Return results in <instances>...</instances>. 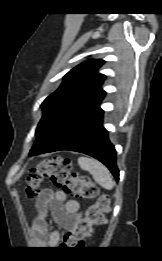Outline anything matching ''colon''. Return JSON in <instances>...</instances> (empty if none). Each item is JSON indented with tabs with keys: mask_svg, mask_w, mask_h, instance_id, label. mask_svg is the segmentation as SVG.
Here are the masks:
<instances>
[{
	"mask_svg": "<svg viewBox=\"0 0 162 261\" xmlns=\"http://www.w3.org/2000/svg\"><path fill=\"white\" fill-rule=\"evenodd\" d=\"M44 179H49L55 186L61 187L78 199H92L98 196V187L86 175L73 171L70 159L53 157L39 162L32 167L27 176L26 194L29 198L38 195ZM110 210V198L106 194L98 197L97 203L88 207L77 219L73 232L66 243L74 247H84L92 234L95 224L105 221V213Z\"/></svg>",
	"mask_w": 162,
	"mask_h": 261,
	"instance_id": "5ec220e1",
	"label": "colon"
}]
</instances>
